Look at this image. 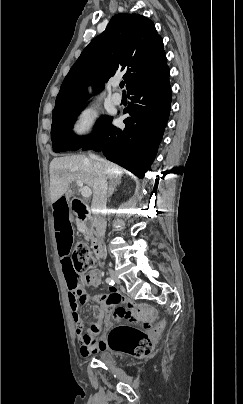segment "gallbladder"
Here are the masks:
<instances>
[{
    "label": "gallbladder",
    "instance_id": "1",
    "mask_svg": "<svg viewBox=\"0 0 243 404\" xmlns=\"http://www.w3.org/2000/svg\"><path fill=\"white\" fill-rule=\"evenodd\" d=\"M72 196H73L72 190H68V192H67V194H66L67 200H70V198H72ZM71 216H72V215H71Z\"/></svg>",
    "mask_w": 243,
    "mask_h": 404
}]
</instances>
